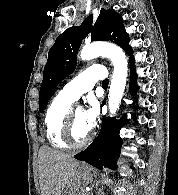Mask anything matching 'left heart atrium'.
I'll return each mask as SVG.
<instances>
[{
  "mask_svg": "<svg viewBox=\"0 0 178 195\" xmlns=\"http://www.w3.org/2000/svg\"><path fill=\"white\" fill-rule=\"evenodd\" d=\"M98 107L97 104L91 100L87 110L83 112L84 122L89 130H92L98 119Z\"/></svg>",
  "mask_w": 178,
  "mask_h": 195,
  "instance_id": "1",
  "label": "left heart atrium"
}]
</instances>
